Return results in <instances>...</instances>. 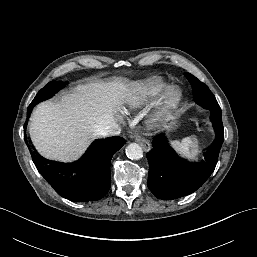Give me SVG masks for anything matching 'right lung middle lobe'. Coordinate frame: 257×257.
Here are the masks:
<instances>
[{"mask_svg":"<svg viewBox=\"0 0 257 257\" xmlns=\"http://www.w3.org/2000/svg\"><path fill=\"white\" fill-rule=\"evenodd\" d=\"M66 83H60L57 81H52L48 83L43 89H41L34 100L31 102L29 106L33 107L35 104L39 103L40 101L51 97L55 94L59 89L63 88Z\"/></svg>","mask_w":257,"mask_h":257,"instance_id":"1","label":"right lung middle lobe"}]
</instances>
